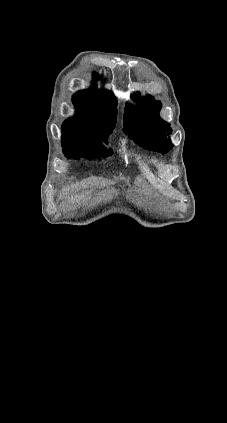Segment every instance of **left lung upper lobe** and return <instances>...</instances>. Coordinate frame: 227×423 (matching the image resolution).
<instances>
[{
    "label": "left lung upper lobe",
    "mask_w": 227,
    "mask_h": 423,
    "mask_svg": "<svg viewBox=\"0 0 227 423\" xmlns=\"http://www.w3.org/2000/svg\"><path fill=\"white\" fill-rule=\"evenodd\" d=\"M137 102L132 107L126 104L124 131L138 145L157 152L166 153L173 145L167 135L171 134L170 125L159 117L161 104L150 95L140 98V93L131 96Z\"/></svg>",
    "instance_id": "1"
}]
</instances>
